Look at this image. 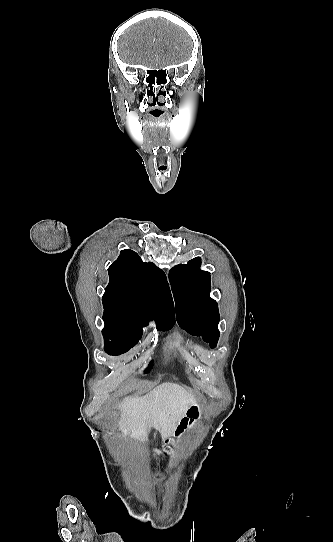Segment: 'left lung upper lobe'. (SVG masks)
<instances>
[{
	"instance_id": "5c2ea615",
	"label": "left lung upper lobe",
	"mask_w": 333,
	"mask_h": 542,
	"mask_svg": "<svg viewBox=\"0 0 333 542\" xmlns=\"http://www.w3.org/2000/svg\"><path fill=\"white\" fill-rule=\"evenodd\" d=\"M200 265V257L176 265L169 272V280L179 326L193 336H202L215 348L220 335L218 304L209 297L210 273L201 271Z\"/></svg>"
}]
</instances>
